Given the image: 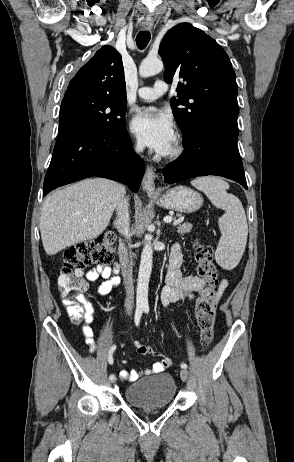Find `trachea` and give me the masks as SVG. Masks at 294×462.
Wrapping results in <instances>:
<instances>
[{
    "label": "trachea",
    "instance_id": "1",
    "mask_svg": "<svg viewBox=\"0 0 294 462\" xmlns=\"http://www.w3.org/2000/svg\"><path fill=\"white\" fill-rule=\"evenodd\" d=\"M151 39V35L148 31H140L136 37V44L139 49H144Z\"/></svg>",
    "mask_w": 294,
    "mask_h": 462
}]
</instances>
